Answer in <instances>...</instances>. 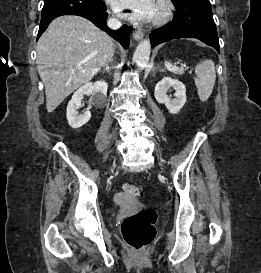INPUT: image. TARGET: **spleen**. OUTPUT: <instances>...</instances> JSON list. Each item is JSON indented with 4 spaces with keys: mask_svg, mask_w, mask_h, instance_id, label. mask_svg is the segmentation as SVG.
I'll use <instances>...</instances> for the list:
<instances>
[{
    "mask_svg": "<svg viewBox=\"0 0 261 273\" xmlns=\"http://www.w3.org/2000/svg\"><path fill=\"white\" fill-rule=\"evenodd\" d=\"M165 67L174 74L182 75L184 70L176 67L168 61H165ZM195 85L198 90V96L200 101L205 102L212 94L213 87L216 81L215 65L212 60H203L195 67Z\"/></svg>",
    "mask_w": 261,
    "mask_h": 273,
    "instance_id": "spleen-1",
    "label": "spleen"
}]
</instances>
